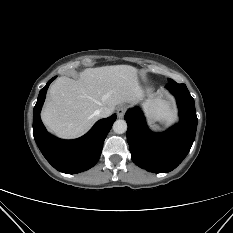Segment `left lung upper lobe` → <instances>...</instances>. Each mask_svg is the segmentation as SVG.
<instances>
[{
  "label": "left lung upper lobe",
  "mask_w": 233,
  "mask_h": 233,
  "mask_svg": "<svg viewBox=\"0 0 233 233\" xmlns=\"http://www.w3.org/2000/svg\"><path fill=\"white\" fill-rule=\"evenodd\" d=\"M171 81H173L172 79H168V82H171Z\"/></svg>",
  "instance_id": "obj_1"
}]
</instances>
